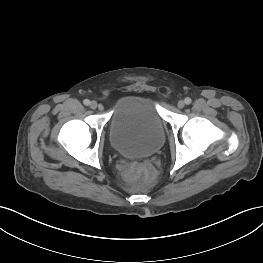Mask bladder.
I'll return each instance as SVG.
<instances>
[{
	"label": "bladder",
	"mask_w": 263,
	"mask_h": 263,
	"mask_svg": "<svg viewBox=\"0 0 263 263\" xmlns=\"http://www.w3.org/2000/svg\"><path fill=\"white\" fill-rule=\"evenodd\" d=\"M108 138L112 148L125 157L156 154L165 142V129L155 101L136 95L120 98L108 122Z\"/></svg>",
	"instance_id": "bladder-1"
}]
</instances>
